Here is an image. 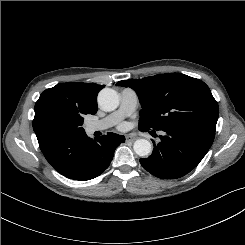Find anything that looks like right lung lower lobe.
Wrapping results in <instances>:
<instances>
[{
  "label": "right lung lower lobe",
  "instance_id": "98d812e1",
  "mask_svg": "<svg viewBox=\"0 0 245 245\" xmlns=\"http://www.w3.org/2000/svg\"><path fill=\"white\" fill-rule=\"evenodd\" d=\"M124 136L109 132L93 140L86 133L67 136L59 141L47 161L63 176L90 180L104 172L112 161L115 148Z\"/></svg>",
  "mask_w": 245,
  "mask_h": 245
}]
</instances>
